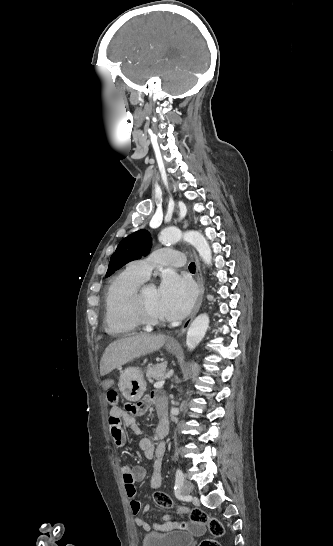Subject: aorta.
Segmentation results:
<instances>
[{"mask_svg": "<svg viewBox=\"0 0 333 546\" xmlns=\"http://www.w3.org/2000/svg\"><path fill=\"white\" fill-rule=\"evenodd\" d=\"M159 240L162 243H176L179 241L188 242L194 246L205 264L210 265L212 263V252L210 245L205 237L198 231H182L175 228L165 229L161 233ZM208 327L209 317L207 314H201L194 319L186 336V345L190 351L194 350L201 342Z\"/></svg>", "mask_w": 333, "mask_h": 546, "instance_id": "aorta-1", "label": "aorta"}]
</instances>
